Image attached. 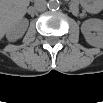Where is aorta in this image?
<instances>
[{"label":"aorta","instance_id":"1","mask_svg":"<svg viewBox=\"0 0 103 103\" xmlns=\"http://www.w3.org/2000/svg\"><path fill=\"white\" fill-rule=\"evenodd\" d=\"M47 6L51 10H56L60 8V2L58 0H49Z\"/></svg>","mask_w":103,"mask_h":103}]
</instances>
